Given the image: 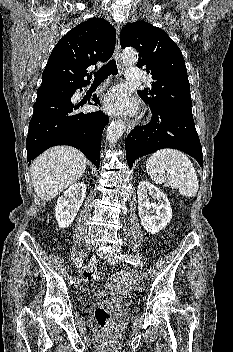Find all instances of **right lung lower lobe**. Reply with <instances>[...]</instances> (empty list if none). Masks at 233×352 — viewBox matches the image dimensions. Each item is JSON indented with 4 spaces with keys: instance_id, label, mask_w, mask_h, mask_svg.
<instances>
[{
    "instance_id": "right-lung-lower-lobe-1",
    "label": "right lung lower lobe",
    "mask_w": 233,
    "mask_h": 352,
    "mask_svg": "<svg viewBox=\"0 0 233 352\" xmlns=\"http://www.w3.org/2000/svg\"><path fill=\"white\" fill-rule=\"evenodd\" d=\"M71 97L36 100L26 139L27 161L50 147L68 145L79 149L99 168L101 136L109 117L102 111L80 112V105H73ZM92 100L94 105L100 104L96 95Z\"/></svg>"
}]
</instances>
